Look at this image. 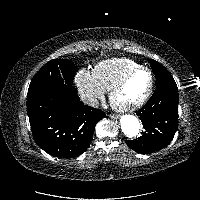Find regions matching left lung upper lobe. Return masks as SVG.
I'll return each mask as SVG.
<instances>
[{"instance_id": "5c2ea615", "label": "left lung upper lobe", "mask_w": 200, "mask_h": 200, "mask_svg": "<svg viewBox=\"0 0 200 200\" xmlns=\"http://www.w3.org/2000/svg\"><path fill=\"white\" fill-rule=\"evenodd\" d=\"M150 64L156 77V87H159L161 85H176L173 77L162 64L153 59L150 60Z\"/></svg>"}]
</instances>
